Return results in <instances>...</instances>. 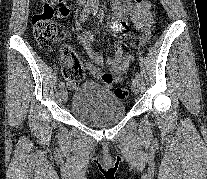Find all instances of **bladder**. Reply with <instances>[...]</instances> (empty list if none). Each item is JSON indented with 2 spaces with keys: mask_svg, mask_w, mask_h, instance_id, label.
<instances>
[{
  "mask_svg": "<svg viewBox=\"0 0 207 179\" xmlns=\"http://www.w3.org/2000/svg\"><path fill=\"white\" fill-rule=\"evenodd\" d=\"M71 110L84 124L103 127L122 119L126 106L124 100L113 91L88 80L75 91Z\"/></svg>",
  "mask_w": 207,
  "mask_h": 179,
  "instance_id": "31cf9c89",
  "label": "bladder"
}]
</instances>
